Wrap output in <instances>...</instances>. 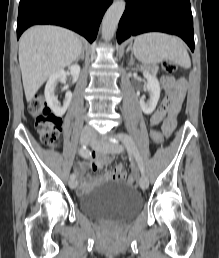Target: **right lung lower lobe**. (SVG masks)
Listing matches in <instances>:
<instances>
[{"label": "right lung lower lobe", "mask_w": 219, "mask_h": 258, "mask_svg": "<svg viewBox=\"0 0 219 258\" xmlns=\"http://www.w3.org/2000/svg\"><path fill=\"white\" fill-rule=\"evenodd\" d=\"M113 0H20L17 39L30 26L53 24L69 28L92 43Z\"/></svg>", "instance_id": "98d812e1"}]
</instances>
